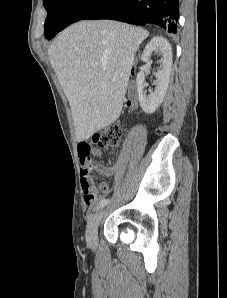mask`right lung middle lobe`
<instances>
[{
	"instance_id": "1",
	"label": "right lung middle lobe",
	"mask_w": 227,
	"mask_h": 298,
	"mask_svg": "<svg viewBox=\"0 0 227 298\" xmlns=\"http://www.w3.org/2000/svg\"><path fill=\"white\" fill-rule=\"evenodd\" d=\"M102 0H44L45 36L50 39L68 25L83 19Z\"/></svg>"
}]
</instances>
